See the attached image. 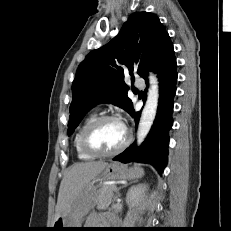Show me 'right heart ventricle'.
<instances>
[{
	"mask_svg": "<svg viewBox=\"0 0 231 231\" xmlns=\"http://www.w3.org/2000/svg\"><path fill=\"white\" fill-rule=\"evenodd\" d=\"M96 117L95 113H91L90 115H88L83 121L82 123L78 126L75 135H74V139H73V145H74V149L76 152L77 157L80 160L83 161H89L92 160L94 158V156L88 154L87 152L84 151V149L82 148L81 145V136L82 133L85 129V127Z\"/></svg>",
	"mask_w": 231,
	"mask_h": 231,
	"instance_id": "1",
	"label": "right heart ventricle"
}]
</instances>
